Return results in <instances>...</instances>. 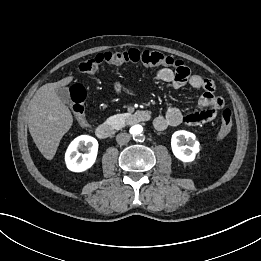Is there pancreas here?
I'll use <instances>...</instances> for the list:
<instances>
[{
  "instance_id": "pancreas-1",
  "label": "pancreas",
  "mask_w": 261,
  "mask_h": 261,
  "mask_svg": "<svg viewBox=\"0 0 261 261\" xmlns=\"http://www.w3.org/2000/svg\"><path fill=\"white\" fill-rule=\"evenodd\" d=\"M127 119L126 114H116L107 119V122L115 129H120L125 126Z\"/></svg>"
}]
</instances>
